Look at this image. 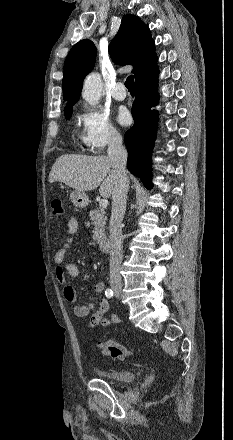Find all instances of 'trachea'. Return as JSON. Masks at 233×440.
Wrapping results in <instances>:
<instances>
[{
    "mask_svg": "<svg viewBox=\"0 0 233 440\" xmlns=\"http://www.w3.org/2000/svg\"><path fill=\"white\" fill-rule=\"evenodd\" d=\"M125 86L128 89V91L130 92H134V76L130 75L126 81H125Z\"/></svg>",
    "mask_w": 233,
    "mask_h": 440,
    "instance_id": "obj_1",
    "label": "trachea"
}]
</instances>
